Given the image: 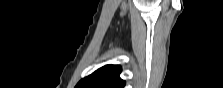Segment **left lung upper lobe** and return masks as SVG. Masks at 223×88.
<instances>
[{
	"label": "left lung upper lobe",
	"instance_id": "left-lung-upper-lobe-1",
	"mask_svg": "<svg viewBox=\"0 0 223 88\" xmlns=\"http://www.w3.org/2000/svg\"><path fill=\"white\" fill-rule=\"evenodd\" d=\"M119 65H106L82 79L76 88H123L125 81L119 77Z\"/></svg>",
	"mask_w": 223,
	"mask_h": 88
}]
</instances>
